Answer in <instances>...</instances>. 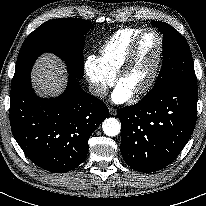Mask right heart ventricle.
<instances>
[{
  "mask_svg": "<svg viewBox=\"0 0 206 206\" xmlns=\"http://www.w3.org/2000/svg\"><path fill=\"white\" fill-rule=\"evenodd\" d=\"M143 30V28L120 29L101 46L97 59L107 73L112 76L116 75L132 42Z\"/></svg>",
  "mask_w": 206,
  "mask_h": 206,
  "instance_id": "obj_1",
  "label": "right heart ventricle"
}]
</instances>
